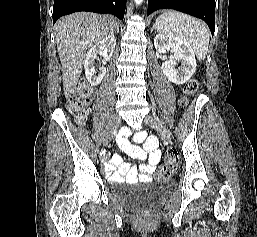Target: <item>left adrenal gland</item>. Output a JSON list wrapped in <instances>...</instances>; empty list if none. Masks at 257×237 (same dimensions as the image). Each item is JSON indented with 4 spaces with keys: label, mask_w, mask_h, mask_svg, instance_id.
<instances>
[{
    "label": "left adrenal gland",
    "mask_w": 257,
    "mask_h": 237,
    "mask_svg": "<svg viewBox=\"0 0 257 237\" xmlns=\"http://www.w3.org/2000/svg\"><path fill=\"white\" fill-rule=\"evenodd\" d=\"M153 29H155V25H153V28H152V30H153Z\"/></svg>",
    "instance_id": "obj_1"
}]
</instances>
